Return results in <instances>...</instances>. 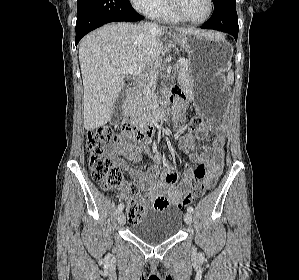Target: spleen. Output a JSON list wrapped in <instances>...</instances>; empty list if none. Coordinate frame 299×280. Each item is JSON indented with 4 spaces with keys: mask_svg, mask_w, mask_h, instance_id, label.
I'll use <instances>...</instances> for the list:
<instances>
[{
    "mask_svg": "<svg viewBox=\"0 0 299 280\" xmlns=\"http://www.w3.org/2000/svg\"><path fill=\"white\" fill-rule=\"evenodd\" d=\"M227 81H228L229 84H233V82H234V72H233V70H230L228 72Z\"/></svg>",
    "mask_w": 299,
    "mask_h": 280,
    "instance_id": "obj_1",
    "label": "spleen"
}]
</instances>
